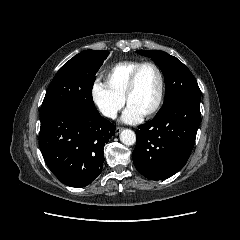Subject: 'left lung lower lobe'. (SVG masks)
<instances>
[{"label": "left lung lower lobe", "instance_id": "left-lung-lower-lobe-1", "mask_svg": "<svg viewBox=\"0 0 240 240\" xmlns=\"http://www.w3.org/2000/svg\"><path fill=\"white\" fill-rule=\"evenodd\" d=\"M200 100L195 97L177 99L138 127L132 159L144 177L164 180L184 167L196 139Z\"/></svg>", "mask_w": 240, "mask_h": 240}]
</instances>
